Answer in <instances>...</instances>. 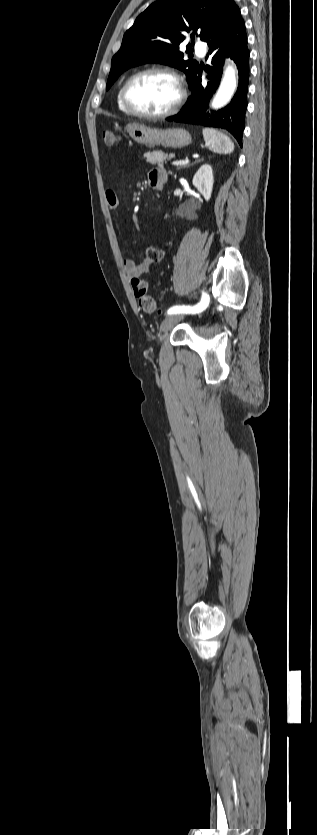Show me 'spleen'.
Returning a JSON list of instances; mask_svg holds the SVG:
<instances>
[{
  "label": "spleen",
  "instance_id": "spleen-1",
  "mask_svg": "<svg viewBox=\"0 0 317 835\" xmlns=\"http://www.w3.org/2000/svg\"><path fill=\"white\" fill-rule=\"evenodd\" d=\"M205 145L212 152L218 154H229L234 150V143L222 132L214 128H204L202 131Z\"/></svg>",
  "mask_w": 317,
  "mask_h": 835
}]
</instances>
